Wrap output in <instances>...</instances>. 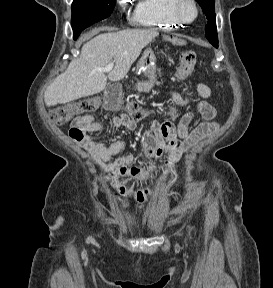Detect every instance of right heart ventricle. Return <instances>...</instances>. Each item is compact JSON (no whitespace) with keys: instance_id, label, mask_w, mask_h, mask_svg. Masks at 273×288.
Segmentation results:
<instances>
[{"instance_id":"obj_1","label":"right heart ventricle","mask_w":273,"mask_h":288,"mask_svg":"<svg viewBox=\"0 0 273 288\" xmlns=\"http://www.w3.org/2000/svg\"><path fill=\"white\" fill-rule=\"evenodd\" d=\"M173 0H137L131 21L134 25L151 29L171 30L180 26L172 14Z\"/></svg>"}]
</instances>
